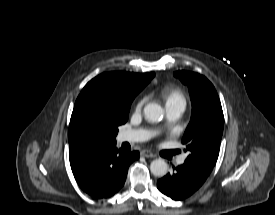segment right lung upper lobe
<instances>
[{"label":"right lung upper lobe","mask_w":275,"mask_h":215,"mask_svg":"<svg viewBox=\"0 0 275 215\" xmlns=\"http://www.w3.org/2000/svg\"><path fill=\"white\" fill-rule=\"evenodd\" d=\"M154 77V73L107 72L89 81L78 96L72 112L68 132L69 151L81 146L73 136L76 122L89 111L124 120L135 96Z\"/></svg>","instance_id":"1"}]
</instances>
